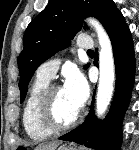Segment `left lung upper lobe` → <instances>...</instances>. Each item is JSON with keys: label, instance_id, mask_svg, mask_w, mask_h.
I'll use <instances>...</instances> for the list:
<instances>
[{"label": "left lung upper lobe", "instance_id": "1", "mask_svg": "<svg viewBox=\"0 0 139 150\" xmlns=\"http://www.w3.org/2000/svg\"><path fill=\"white\" fill-rule=\"evenodd\" d=\"M114 6L113 0L50 1L31 21L24 34V48L17 60L21 103L37 67L70 44V40L82 28L83 19L94 16L104 25Z\"/></svg>", "mask_w": 139, "mask_h": 150}]
</instances>
